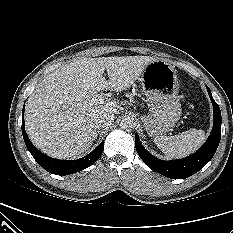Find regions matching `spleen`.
<instances>
[{
    "label": "spleen",
    "mask_w": 233,
    "mask_h": 233,
    "mask_svg": "<svg viewBox=\"0 0 233 233\" xmlns=\"http://www.w3.org/2000/svg\"><path fill=\"white\" fill-rule=\"evenodd\" d=\"M206 140L201 129H190L175 136H156L154 143L169 158H183L196 151Z\"/></svg>",
    "instance_id": "obj_1"
}]
</instances>
